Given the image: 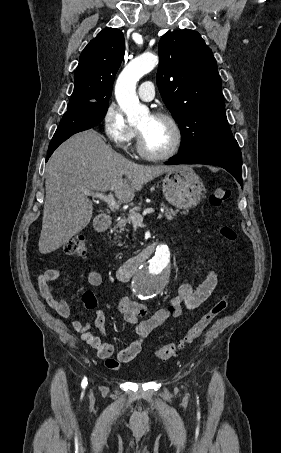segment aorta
Listing matches in <instances>:
<instances>
[{"instance_id": "obj_1", "label": "aorta", "mask_w": 281, "mask_h": 453, "mask_svg": "<svg viewBox=\"0 0 281 453\" xmlns=\"http://www.w3.org/2000/svg\"><path fill=\"white\" fill-rule=\"evenodd\" d=\"M158 57L153 54H143L133 59L119 75L116 86V100L127 115L130 124L143 120L149 113L146 106L140 104L136 95V84L145 74L154 69ZM170 261L168 246H158L155 255L147 263L141 265L133 277L132 291L138 299L146 301L160 294L168 283L166 268Z\"/></svg>"}]
</instances>
